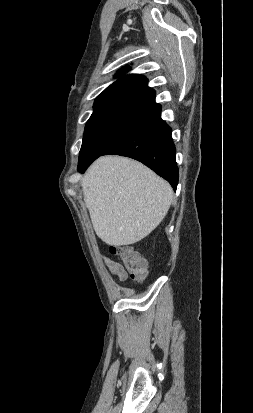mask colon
<instances>
[{"label":"colon","instance_id":"colon-1","mask_svg":"<svg viewBox=\"0 0 253 413\" xmlns=\"http://www.w3.org/2000/svg\"><path fill=\"white\" fill-rule=\"evenodd\" d=\"M109 251L111 254L117 255L122 259L125 268L132 279L136 281H143L146 278V260L130 246L112 245L109 247Z\"/></svg>","mask_w":253,"mask_h":413}]
</instances>
